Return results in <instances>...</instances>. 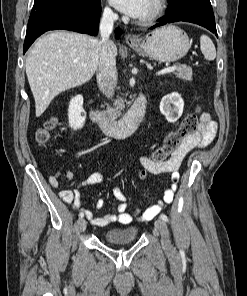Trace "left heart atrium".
Segmentation results:
<instances>
[{"label":"left heart atrium","mask_w":247,"mask_h":296,"mask_svg":"<svg viewBox=\"0 0 247 296\" xmlns=\"http://www.w3.org/2000/svg\"><path fill=\"white\" fill-rule=\"evenodd\" d=\"M151 0H111L118 10L133 18L142 17Z\"/></svg>","instance_id":"39dd6f15"}]
</instances>
